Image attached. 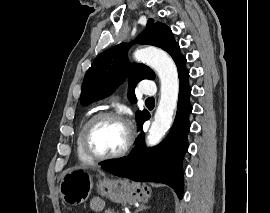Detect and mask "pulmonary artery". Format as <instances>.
Returning <instances> with one entry per match:
<instances>
[{
    "label": "pulmonary artery",
    "mask_w": 270,
    "mask_h": 213,
    "mask_svg": "<svg viewBox=\"0 0 270 213\" xmlns=\"http://www.w3.org/2000/svg\"><path fill=\"white\" fill-rule=\"evenodd\" d=\"M140 90L141 94L147 95V96H152L156 93L157 87L154 82L152 81H143L140 84Z\"/></svg>",
    "instance_id": "e3ab8cb5"
}]
</instances>
